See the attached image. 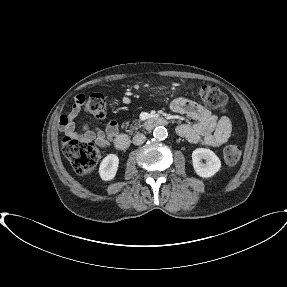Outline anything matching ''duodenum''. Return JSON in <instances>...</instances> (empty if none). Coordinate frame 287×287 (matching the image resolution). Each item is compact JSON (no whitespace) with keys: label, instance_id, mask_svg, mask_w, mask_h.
I'll list each match as a JSON object with an SVG mask.
<instances>
[{"label":"duodenum","instance_id":"1","mask_svg":"<svg viewBox=\"0 0 287 287\" xmlns=\"http://www.w3.org/2000/svg\"><path fill=\"white\" fill-rule=\"evenodd\" d=\"M168 120L162 116L154 115L143 122V128L146 130H153L158 126L167 125ZM130 139L126 134H118L114 138V146L120 151H124L129 147Z\"/></svg>","mask_w":287,"mask_h":287}]
</instances>
